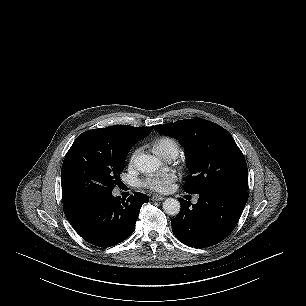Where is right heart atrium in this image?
<instances>
[{"mask_svg":"<svg viewBox=\"0 0 306 306\" xmlns=\"http://www.w3.org/2000/svg\"><path fill=\"white\" fill-rule=\"evenodd\" d=\"M141 152L140 148H137L136 150H134V152L132 153V155L130 156V164H134L139 156Z\"/></svg>","mask_w":306,"mask_h":306,"instance_id":"right-heart-atrium-1","label":"right heart atrium"}]
</instances>
